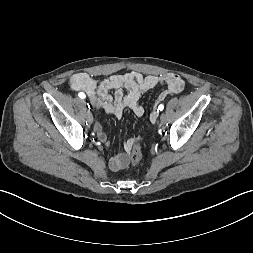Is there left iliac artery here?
Segmentation results:
<instances>
[{"label": "left iliac artery", "instance_id": "obj_1", "mask_svg": "<svg viewBox=\"0 0 253 253\" xmlns=\"http://www.w3.org/2000/svg\"><path fill=\"white\" fill-rule=\"evenodd\" d=\"M163 109H164V106L162 104L159 105L158 110L162 111Z\"/></svg>", "mask_w": 253, "mask_h": 253}]
</instances>
